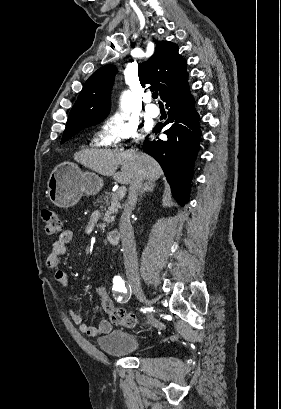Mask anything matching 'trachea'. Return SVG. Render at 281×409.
<instances>
[{
    "label": "trachea",
    "instance_id": "trachea-1",
    "mask_svg": "<svg viewBox=\"0 0 281 409\" xmlns=\"http://www.w3.org/2000/svg\"><path fill=\"white\" fill-rule=\"evenodd\" d=\"M152 98L157 99L158 98V92H153Z\"/></svg>",
    "mask_w": 281,
    "mask_h": 409
}]
</instances>
